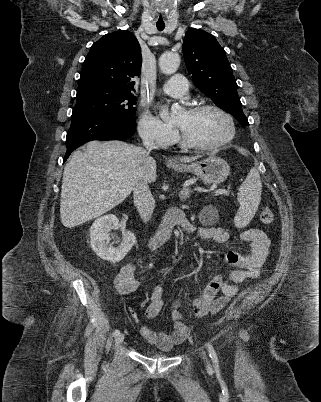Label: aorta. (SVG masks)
Segmentation results:
<instances>
[{
    "mask_svg": "<svg viewBox=\"0 0 321 402\" xmlns=\"http://www.w3.org/2000/svg\"><path fill=\"white\" fill-rule=\"evenodd\" d=\"M180 65V56L174 51L163 53L159 58V68L162 73L171 75L175 73ZM180 110L178 105L172 106L171 115L174 116Z\"/></svg>",
    "mask_w": 321,
    "mask_h": 402,
    "instance_id": "obj_1",
    "label": "aorta"
}]
</instances>
